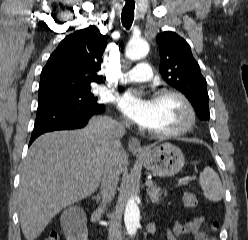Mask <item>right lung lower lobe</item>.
I'll use <instances>...</instances> for the list:
<instances>
[{
	"instance_id": "1",
	"label": "right lung lower lobe",
	"mask_w": 248,
	"mask_h": 240,
	"mask_svg": "<svg viewBox=\"0 0 248 240\" xmlns=\"http://www.w3.org/2000/svg\"><path fill=\"white\" fill-rule=\"evenodd\" d=\"M104 109L103 104L93 108L63 104L38 105L37 117L29 145L45 132L82 128L93 115L103 113Z\"/></svg>"
}]
</instances>
